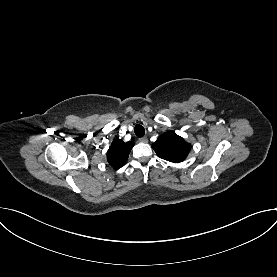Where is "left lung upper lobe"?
Listing matches in <instances>:
<instances>
[{"label":"left lung upper lobe","instance_id":"obj_1","mask_svg":"<svg viewBox=\"0 0 277 277\" xmlns=\"http://www.w3.org/2000/svg\"><path fill=\"white\" fill-rule=\"evenodd\" d=\"M152 148L160 158L178 163L187 157L191 150V145L174 131H168L152 144Z\"/></svg>","mask_w":277,"mask_h":277}]
</instances>
